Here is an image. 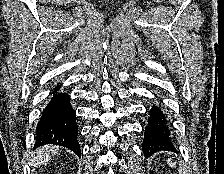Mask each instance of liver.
<instances>
[{"label":"liver","mask_w":224,"mask_h":174,"mask_svg":"<svg viewBox=\"0 0 224 174\" xmlns=\"http://www.w3.org/2000/svg\"><path fill=\"white\" fill-rule=\"evenodd\" d=\"M59 146H43L35 151V155L31 159V165L38 167L47 162L53 155L57 154Z\"/></svg>","instance_id":"6515ba94"}]
</instances>
